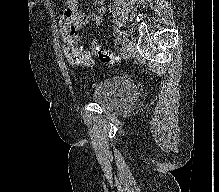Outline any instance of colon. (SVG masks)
<instances>
[{"label":"colon","instance_id":"5ec220e1","mask_svg":"<svg viewBox=\"0 0 219 192\" xmlns=\"http://www.w3.org/2000/svg\"><path fill=\"white\" fill-rule=\"evenodd\" d=\"M62 49L67 61L72 65L91 66L93 56L107 64H119L121 62V59L114 52L98 43L92 44L90 50L80 49L71 33L63 38Z\"/></svg>","mask_w":219,"mask_h":192}]
</instances>
